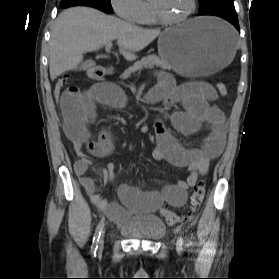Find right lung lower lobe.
I'll use <instances>...</instances> for the list:
<instances>
[{
  "label": "right lung lower lobe",
  "mask_w": 279,
  "mask_h": 279,
  "mask_svg": "<svg viewBox=\"0 0 279 279\" xmlns=\"http://www.w3.org/2000/svg\"><path fill=\"white\" fill-rule=\"evenodd\" d=\"M89 6L93 8H97L103 12H110L101 6L96 0H61L60 6L62 8H68L71 6Z\"/></svg>",
  "instance_id": "1"
}]
</instances>
